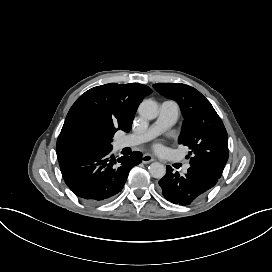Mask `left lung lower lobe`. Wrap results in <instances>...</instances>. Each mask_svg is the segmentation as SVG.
Listing matches in <instances>:
<instances>
[{
	"instance_id": "1",
	"label": "left lung lower lobe",
	"mask_w": 272,
	"mask_h": 272,
	"mask_svg": "<svg viewBox=\"0 0 272 272\" xmlns=\"http://www.w3.org/2000/svg\"><path fill=\"white\" fill-rule=\"evenodd\" d=\"M212 172L191 166L185 176L173 172L167 166L166 175L159 180L163 196L170 202L179 205H190L204 196L218 181Z\"/></svg>"
}]
</instances>
